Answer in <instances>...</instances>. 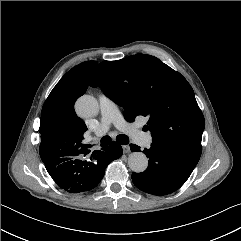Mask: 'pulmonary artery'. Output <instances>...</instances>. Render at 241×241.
I'll use <instances>...</instances> for the list:
<instances>
[{
  "label": "pulmonary artery",
  "mask_w": 241,
  "mask_h": 241,
  "mask_svg": "<svg viewBox=\"0 0 241 241\" xmlns=\"http://www.w3.org/2000/svg\"><path fill=\"white\" fill-rule=\"evenodd\" d=\"M100 122L96 128L95 136L104 135L111 124H114L119 130L126 132L138 144L149 146L152 143V135L142 132L134 125L125 121L120 114L116 104L105 94H99Z\"/></svg>",
  "instance_id": "e3ab8cb5"
}]
</instances>
